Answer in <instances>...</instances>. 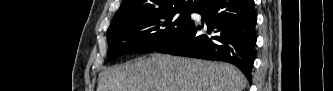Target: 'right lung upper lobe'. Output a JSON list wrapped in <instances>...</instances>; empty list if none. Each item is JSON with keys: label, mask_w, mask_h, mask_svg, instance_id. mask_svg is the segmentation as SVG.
I'll list each match as a JSON object with an SVG mask.
<instances>
[{"label": "right lung upper lobe", "mask_w": 333, "mask_h": 91, "mask_svg": "<svg viewBox=\"0 0 333 91\" xmlns=\"http://www.w3.org/2000/svg\"><path fill=\"white\" fill-rule=\"evenodd\" d=\"M207 0H123L111 22H125L166 11H193Z\"/></svg>", "instance_id": "cb5924a9"}]
</instances>
